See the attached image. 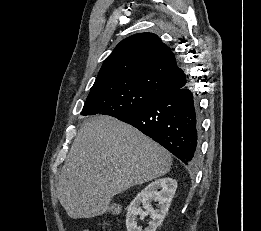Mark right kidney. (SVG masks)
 Here are the masks:
<instances>
[{"label":"right kidney","instance_id":"1","mask_svg":"<svg viewBox=\"0 0 261 231\" xmlns=\"http://www.w3.org/2000/svg\"><path fill=\"white\" fill-rule=\"evenodd\" d=\"M176 189L177 181L169 177L155 180L146 186L128 207L126 216L127 231H156L169 210ZM152 201L158 202L157 210L152 208ZM141 203L145 211L141 209ZM137 215H140L141 219H144L147 215L151 217L149 225L144 230L137 227Z\"/></svg>","mask_w":261,"mask_h":231}]
</instances>
